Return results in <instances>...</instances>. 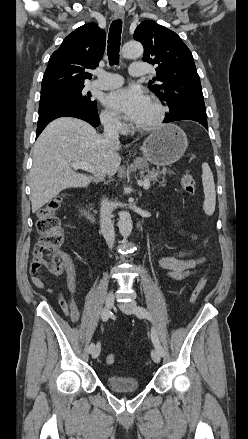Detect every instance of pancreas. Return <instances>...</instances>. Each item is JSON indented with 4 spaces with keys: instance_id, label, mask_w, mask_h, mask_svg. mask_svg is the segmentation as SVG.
Returning <instances> with one entry per match:
<instances>
[{
    "instance_id": "obj_1",
    "label": "pancreas",
    "mask_w": 248,
    "mask_h": 439,
    "mask_svg": "<svg viewBox=\"0 0 248 439\" xmlns=\"http://www.w3.org/2000/svg\"><path fill=\"white\" fill-rule=\"evenodd\" d=\"M146 172H147L146 178L153 183L159 182V179L162 178V181L159 182L161 186H165V183H166L164 176L168 172L171 173V171H167V169H162L161 171L154 170V169H152V170L147 169Z\"/></svg>"
}]
</instances>
